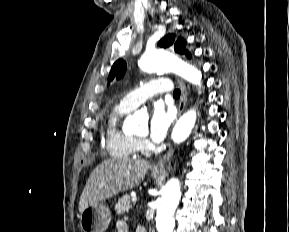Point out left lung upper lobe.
Returning <instances> with one entry per match:
<instances>
[{
	"label": "left lung upper lobe",
	"instance_id": "obj_1",
	"mask_svg": "<svg viewBox=\"0 0 289 232\" xmlns=\"http://www.w3.org/2000/svg\"><path fill=\"white\" fill-rule=\"evenodd\" d=\"M159 46L167 48L174 46L175 52L179 54H186L190 58V53L186 50V42L182 37L176 38L174 34H168L159 41ZM126 71V63L122 59L116 61L109 73L108 81H112L114 78L120 79L124 76Z\"/></svg>",
	"mask_w": 289,
	"mask_h": 232
}]
</instances>
